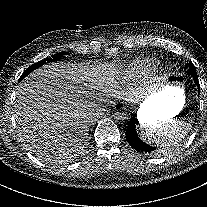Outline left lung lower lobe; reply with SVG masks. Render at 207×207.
<instances>
[{
    "label": "left lung lower lobe",
    "instance_id": "left-lung-lower-lobe-1",
    "mask_svg": "<svg viewBox=\"0 0 207 207\" xmlns=\"http://www.w3.org/2000/svg\"><path fill=\"white\" fill-rule=\"evenodd\" d=\"M191 76L193 77V79H194L195 83L197 84L198 88H200L197 73H194ZM137 123H139L138 120H136L133 117L132 120L130 121L129 125H128V128L125 132L126 139H127L128 143L134 149H136L138 152H151V151L155 150V148H153L150 145L146 144L145 142H143L138 137V135L136 133V129H135Z\"/></svg>",
    "mask_w": 207,
    "mask_h": 207
}]
</instances>
